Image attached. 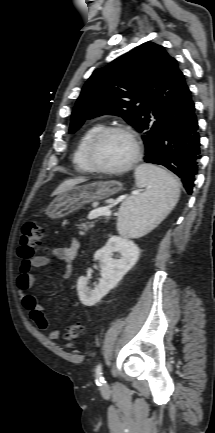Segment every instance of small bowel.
Listing matches in <instances>:
<instances>
[{"label":"small bowel","mask_w":215,"mask_h":433,"mask_svg":"<svg viewBox=\"0 0 215 433\" xmlns=\"http://www.w3.org/2000/svg\"><path fill=\"white\" fill-rule=\"evenodd\" d=\"M79 249V243L73 240L69 247H56L51 250L54 256L65 264L62 271V277L68 279L71 276L72 262L76 258ZM50 264V259L46 255H32L30 257H21L19 266V276L16 280V286L21 295L22 306L29 313L30 319L42 331H48L50 340H57L60 336L59 331L50 330V325L44 315L43 307L38 299L29 291L35 285V275L32 273L34 268L46 267Z\"/></svg>","instance_id":"1"}]
</instances>
